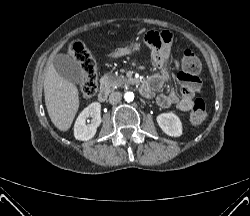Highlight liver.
<instances>
[{
	"instance_id": "1",
	"label": "liver",
	"mask_w": 250,
	"mask_h": 216,
	"mask_svg": "<svg viewBox=\"0 0 250 216\" xmlns=\"http://www.w3.org/2000/svg\"><path fill=\"white\" fill-rule=\"evenodd\" d=\"M45 104L52 123L61 131H67L80 104L77 87L61 77L53 65L48 67L44 80Z\"/></svg>"
}]
</instances>
